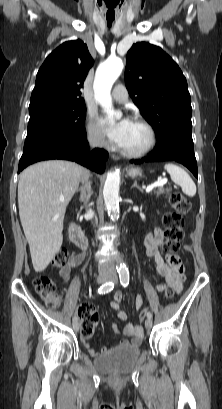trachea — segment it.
Instances as JSON below:
<instances>
[{"label":"trachea","instance_id":"trachea-1","mask_svg":"<svg viewBox=\"0 0 222 409\" xmlns=\"http://www.w3.org/2000/svg\"><path fill=\"white\" fill-rule=\"evenodd\" d=\"M112 22H113V19H108V20H107L108 27L111 26Z\"/></svg>","mask_w":222,"mask_h":409}]
</instances>
